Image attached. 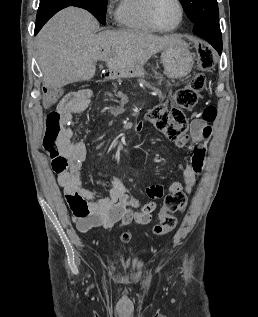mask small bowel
<instances>
[{
	"label": "small bowel",
	"mask_w": 258,
	"mask_h": 317,
	"mask_svg": "<svg viewBox=\"0 0 258 317\" xmlns=\"http://www.w3.org/2000/svg\"><path fill=\"white\" fill-rule=\"evenodd\" d=\"M89 105V92L79 91L68 94L58 105L68 123L73 116L83 112ZM143 123L136 126L141 132ZM212 128L205 121L196 118L191 122L190 130L175 140L178 148L188 153L179 165L180 179L168 185L170 193L190 192L204 168L207 144ZM72 131L68 129L67 139L58 153H51L52 168L58 175V183L63 190L70 207L72 220L77 229L87 232L93 228L123 227L131 222L148 224L157 209L156 199L163 196L162 185L146 188L151 201L141 204L123 181L114 177L104 196L86 187L82 180V166L86 159L87 148L84 142H74Z\"/></svg>",
	"instance_id": "obj_1"
}]
</instances>
